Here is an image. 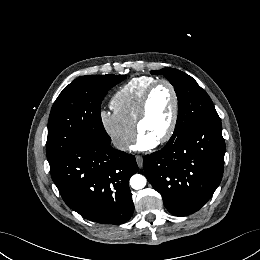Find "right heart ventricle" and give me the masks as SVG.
I'll use <instances>...</instances> for the list:
<instances>
[{"label": "right heart ventricle", "mask_w": 260, "mask_h": 260, "mask_svg": "<svg viewBox=\"0 0 260 260\" xmlns=\"http://www.w3.org/2000/svg\"><path fill=\"white\" fill-rule=\"evenodd\" d=\"M157 81L150 76L131 79L112 96L110 105L127 122L135 125L142 98L147 89Z\"/></svg>", "instance_id": "1"}]
</instances>
